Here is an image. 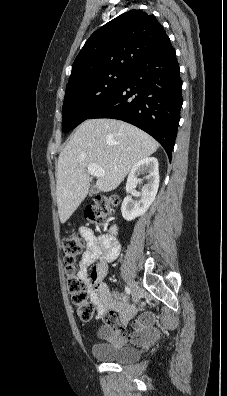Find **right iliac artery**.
Listing matches in <instances>:
<instances>
[{
  "mask_svg": "<svg viewBox=\"0 0 227 396\" xmlns=\"http://www.w3.org/2000/svg\"><path fill=\"white\" fill-rule=\"evenodd\" d=\"M125 292L130 295L131 294V289L129 287H125Z\"/></svg>",
  "mask_w": 227,
  "mask_h": 396,
  "instance_id": "right-iliac-artery-1",
  "label": "right iliac artery"
}]
</instances>
